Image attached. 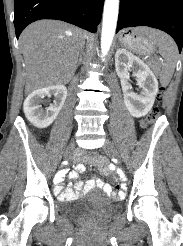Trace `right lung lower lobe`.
Returning a JSON list of instances; mask_svg holds the SVG:
<instances>
[{
  "label": "right lung lower lobe",
  "instance_id": "98d812e1",
  "mask_svg": "<svg viewBox=\"0 0 183 246\" xmlns=\"http://www.w3.org/2000/svg\"><path fill=\"white\" fill-rule=\"evenodd\" d=\"M104 0H14V25L22 30L40 19L62 20L92 33L101 21Z\"/></svg>",
  "mask_w": 183,
  "mask_h": 246
}]
</instances>
